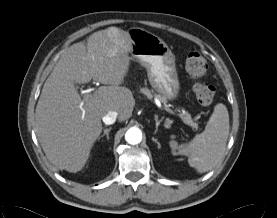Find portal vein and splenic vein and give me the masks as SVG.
I'll use <instances>...</instances> for the list:
<instances>
[{"instance_id":"1","label":"portal vein and splenic vein","mask_w":277,"mask_h":218,"mask_svg":"<svg viewBox=\"0 0 277 218\" xmlns=\"http://www.w3.org/2000/svg\"><path fill=\"white\" fill-rule=\"evenodd\" d=\"M92 96V93H87L85 94V97L89 98ZM163 109L165 111H167L168 113L172 114V115H178L175 111H173L171 108L167 107V106H163Z\"/></svg>"}]
</instances>
